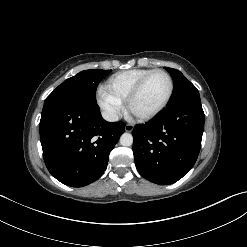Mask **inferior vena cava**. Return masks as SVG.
<instances>
[{"label":"inferior vena cava","instance_id":"inferior-vena-cava-1","mask_svg":"<svg viewBox=\"0 0 247 247\" xmlns=\"http://www.w3.org/2000/svg\"><path fill=\"white\" fill-rule=\"evenodd\" d=\"M102 116L106 121H109V122H115L119 120L118 115L112 112H103Z\"/></svg>","mask_w":247,"mask_h":247}]
</instances>
